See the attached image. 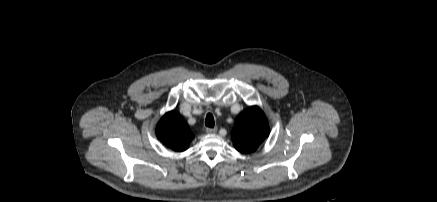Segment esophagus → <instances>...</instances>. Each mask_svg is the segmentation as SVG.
<instances>
[{
  "label": "esophagus",
  "instance_id": "34e87169",
  "mask_svg": "<svg viewBox=\"0 0 437 202\" xmlns=\"http://www.w3.org/2000/svg\"><path fill=\"white\" fill-rule=\"evenodd\" d=\"M206 132L207 133H210V134H213V133H216L217 132V128L216 127H214V128H206Z\"/></svg>",
  "mask_w": 437,
  "mask_h": 202
}]
</instances>
